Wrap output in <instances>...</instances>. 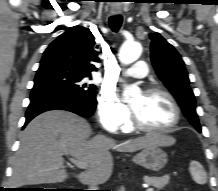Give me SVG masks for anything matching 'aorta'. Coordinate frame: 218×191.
<instances>
[{
	"mask_svg": "<svg viewBox=\"0 0 218 191\" xmlns=\"http://www.w3.org/2000/svg\"><path fill=\"white\" fill-rule=\"evenodd\" d=\"M142 53V47L137 42H125L119 50V60L124 65L135 62ZM140 89L136 85L124 87L123 99L130 102L131 98L140 94Z\"/></svg>",
	"mask_w": 218,
	"mask_h": 191,
	"instance_id": "obj_1",
	"label": "aorta"
}]
</instances>
